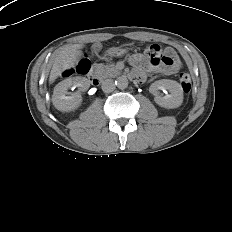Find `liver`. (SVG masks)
<instances>
[{
  "label": "liver",
  "mask_w": 232,
  "mask_h": 232,
  "mask_svg": "<svg viewBox=\"0 0 232 232\" xmlns=\"http://www.w3.org/2000/svg\"><path fill=\"white\" fill-rule=\"evenodd\" d=\"M82 48V44H73L66 45L59 51L50 71L49 83H53L65 70L75 66L82 54Z\"/></svg>",
  "instance_id": "liver-1"
}]
</instances>
